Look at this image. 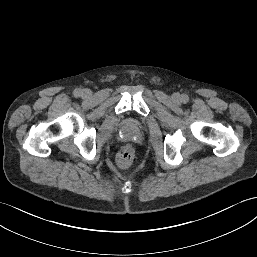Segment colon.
I'll return each mask as SVG.
<instances>
[{
  "mask_svg": "<svg viewBox=\"0 0 257 257\" xmlns=\"http://www.w3.org/2000/svg\"><path fill=\"white\" fill-rule=\"evenodd\" d=\"M133 156H134V151L132 147L130 146L124 147L118 155V158H117L118 165L122 168L128 167L133 160Z\"/></svg>",
  "mask_w": 257,
  "mask_h": 257,
  "instance_id": "obj_1",
  "label": "colon"
}]
</instances>
